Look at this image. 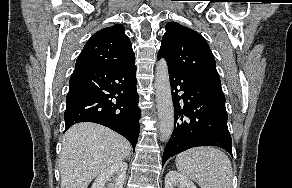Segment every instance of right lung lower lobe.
Here are the masks:
<instances>
[{
	"instance_id": "right-lung-lower-lobe-1",
	"label": "right lung lower lobe",
	"mask_w": 292,
	"mask_h": 188,
	"mask_svg": "<svg viewBox=\"0 0 292 188\" xmlns=\"http://www.w3.org/2000/svg\"><path fill=\"white\" fill-rule=\"evenodd\" d=\"M135 62L128 66H76L69 82L65 131L74 123L95 122L127 138L135 149L141 111Z\"/></svg>"
}]
</instances>
